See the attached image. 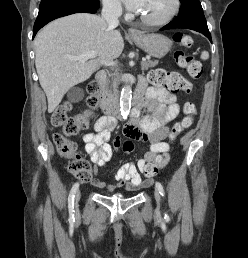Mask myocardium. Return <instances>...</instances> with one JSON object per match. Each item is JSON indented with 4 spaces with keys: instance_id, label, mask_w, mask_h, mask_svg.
<instances>
[{
    "instance_id": "f54148a6",
    "label": "myocardium",
    "mask_w": 248,
    "mask_h": 258,
    "mask_svg": "<svg viewBox=\"0 0 248 258\" xmlns=\"http://www.w3.org/2000/svg\"><path fill=\"white\" fill-rule=\"evenodd\" d=\"M180 6H181V1L174 0L173 8L166 17L159 19V20H149L142 16H139V19L142 23H144L147 26H151V27L163 26V25L170 23L175 18V16L178 14V12L180 10Z\"/></svg>"
}]
</instances>
